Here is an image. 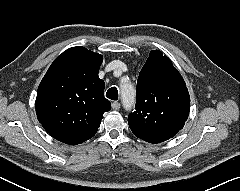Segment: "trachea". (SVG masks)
I'll return each mask as SVG.
<instances>
[{
  "instance_id": "obj_1",
  "label": "trachea",
  "mask_w": 240,
  "mask_h": 191,
  "mask_svg": "<svg viewBox=\"0 0 240 191\" xmlns=\"http://www.w3.org/2000/svg\"><path fill=\"white\" fill-rule=\"evenodd\" d=\"M106 97L111 99V100H117L118 99V90L116 87H111L107 92H106Z\"/></svg>"
}]
</instances>
